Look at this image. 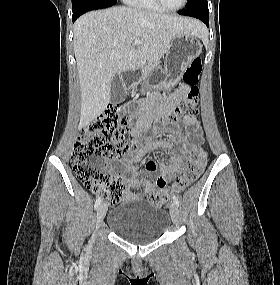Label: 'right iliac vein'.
I'll return each mask as SVG.
<instances>
[{
	"instance_id": "right-iliac-vein-1",
	"label": "right iliac vein",
	"mask_w": 280,
	"mask_h": 285,
	"mask_svg": "<svg viewBox=\"0 0 280 285\" xmlns=\"http://www.w3.org/2000/svg\"><path fill=\"white\" fill-rule=\"evenodd\" d=\"M107 212V205L106 203H102L97 210V215H96V230H98L104 220V217ZM95 230V232H96Z\"/></svg>"
}]
</instances>
